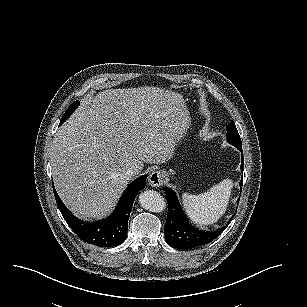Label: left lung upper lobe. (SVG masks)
<instances>
[{"instance_id":"1","label":"left lung upper lobe","mask_w":307,"mask_h":307,"mask_svg":"<svg viewBox=\"0 0 307 307\" xmlns=\"http://www.w3.org/2000/svg\"><path fill=\"white\" fill-rule=\"evenodd\" d=\"M227 141L238 149L242 148L241 139L233 121L227 126Z\"/></svg>"}]
</instances>
